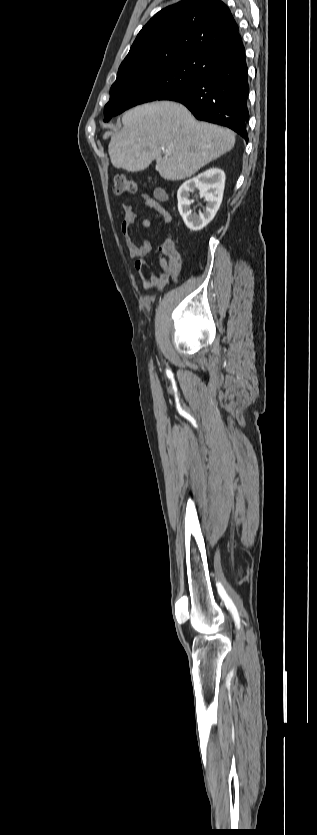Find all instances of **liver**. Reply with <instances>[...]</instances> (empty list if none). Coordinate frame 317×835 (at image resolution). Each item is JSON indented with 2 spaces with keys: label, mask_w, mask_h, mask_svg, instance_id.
<instances>
[{
  "label": "liver",
  "mask_w": 317,
  "mask_h": 835,
  "mask_svg": "<svg viewBox=\"0 0 317 835\" xmlns=\"http://www.w3.org/2000/svg\"><path fill=\"white\" fill-rule=\"evenodd\" d=\"M122 123L119 132H106L103 136H111L112 165L137 172L155 160L165 180L192 176L235 144L233 131L198 122L186 107L172 101L137 106L123 115Z\"/></svg>",
  "instance_id": "6515ba94"
}]
</instances>
